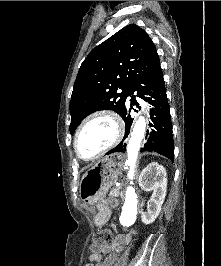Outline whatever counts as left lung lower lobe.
<instances>
[{
	"label": "left lung lower lobe",
	"mask_w": 221,
	"mask_h": 266,
	"mask_svg": "<svg viewBox=\"0 0 221 266\" xmlns=\"http://www.w3.org/2000/svg\"><path fill=\"white\" fill-rule=\"evenodd\" d=\"M145 95H149L150 97H146ZM128 96L131 97L129 100L130 106L127 101L126 108L121 116L125 121L126 127L123 140L128 136L132 124L130 110L133 109V105L139 106L135 99L137 96L153 106L150 110L151 121L149 123L150 129L147 133V142L141 148V151L157 152L173 161L174 143L170 108L160 64L148 74L136 80L131 85ZM123 140L115 148L108 151L107 155L114 152H124L126 150V144L123 143Z\"/></svg>",
	"instance_id": "0a47b994"
}]
</instances>
